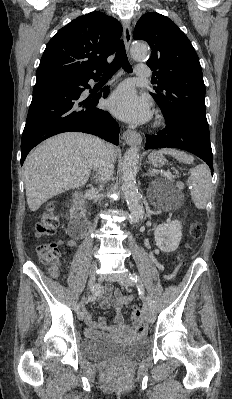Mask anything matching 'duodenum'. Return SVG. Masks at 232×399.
<instances>
[{"instance_id": "duodenum-1", "label": "duodenum", "mask_w": 232, "mask_h": 399, "mask_svg": "<svg viewBox=\"0 0 232 399\" xmlns=\"http://www.w3.org/2000/svg\"><path fill=\"white\" fill-rule=\"evenodd\" d=\"M88 228L89 222L83 211L82 198L81 195L77 193L73 197L70 209L68 232L71 237L79 239L86 234Z\"/></svg>"}]
</instances>
